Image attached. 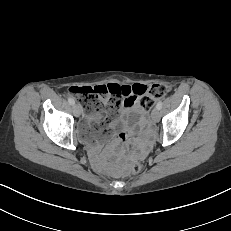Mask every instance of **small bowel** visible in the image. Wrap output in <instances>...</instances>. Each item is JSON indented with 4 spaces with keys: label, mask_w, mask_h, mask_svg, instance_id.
Masks as SVG:
<instances>
[{
    "label": "small bowel",
    "mask_w": 231,
    "mask_h": 231,
    "mask_svg": "<svg viewBox=\"0 0 231 231\" xmlns=\"http://www.w3.org/2000/svg\"><path fill=\"white\" fill-rule=\"evenodd\" d=\"M126 87H128L129 89L132 86H128L125 85ZM133 92L130 89V93L128 94V96H133ZM127 100H125V104L123 105V115L120 119L118 120H112L105 129L103 138L104 141H108L111 138H114L113 140V146H117L118 144H120L122 141H124L129 135H132L136 132V123L139 120V118L143 115V113L138 109L137 107V102L135 101L132 107H128L126 104ZM107 118V113L105 111H103L102 113L94 116V117H87L86 118V123L89 125H92L96 130L97 127L96 125L98 124V122L104 120ZM120 123H122L121 129L114 134V128L115 126L119 125ZM121 134H125L126 137L125 139L121 138ZM147 143H143L140 145L139 147V151L140 152H144L147 149ZM103 148V143L95 146L92 150V155L94 160L99 163L100 165L102 164L101 161L99 160V154L101 152Z\"/></svg>",
    "instance_id": "1"
}]
</instances>
